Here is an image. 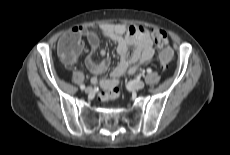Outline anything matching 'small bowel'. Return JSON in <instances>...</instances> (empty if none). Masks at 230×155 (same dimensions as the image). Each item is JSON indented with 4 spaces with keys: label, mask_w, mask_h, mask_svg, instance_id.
Returning a JSON list of instances; mask_svg holds the SVG:
<instances>
[{
    "label": "small bowel",
    "mask_w": 230,
    "mask_h": 155,
    "mask_svg": "<svg viewBox=\"0 0 230 155\" xmlns=\"http://www.w3.org/2000/svg\"><path fill=\"white\" fill-rule=\"evenodd\" d=\"M100 31L105 37L117 44L120 61L113 69L109 79L99 80L94 77L92 83H100L103 88L110 90L117 86L122 76L134 73L141 64L149 61L153 57L155 53L153 41L155 40L152 33L154 30L149 32L147 28L141 25H132L126 29L122 24H108L101 26ZM68 35H76L80 40L76 53L80 52L83 47L82 37L87 38L92 52L99 46L98 29H87L82 26L74 27L69 33L65 34L60 41ZM130 47L133 49L130 50ZM101 55L103 60L99 63H96L92 57L86 60L87 67L91 73L95 75L106 71L109 67V60L106 58V53L102 51Z\"/></svg>",
    "instance_id": "obj_1"
}]
</instances>
